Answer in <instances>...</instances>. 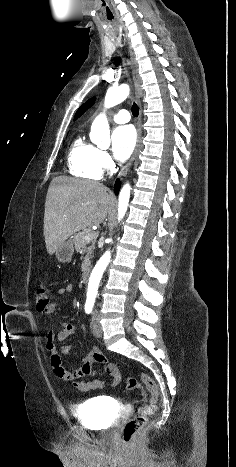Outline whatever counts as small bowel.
Listing matches in <instances>:
<instances>
[{"instance_id": "c3829d8e", "label": "small bowel", "mask_w": 236, "mask_h": 467, "mask_svg": "<svg viewBox=\"0 0 236 467\" xmlns=\"http://www.w3.org/2000/svg\"><path fill=\"white\" fill-rule=\"evenodd\" d=\"M72 284H66L60 287L57 291L59 296H65L72 292ZM61 307L60 301L50 303L44 310L41 311L42 315L48 316L54 313ZM48 334L46 336L45 346L50 354V362L56 376L65 381H73L87 376H96L98 372L95 366L99 362H103V370L112 378V387H116L121 381V375L115 364L109 362L105 358L97 360L95 356L101 354L98 349L94 348L87 352L82 359V365L76 369H69L63 363L62 356L68 355L71 351L70 345H63L60 349L56 347V342H65L73 333L80 332L84 334V326L80 323H66L60 322L57 325L48 326ZM74 386L82 392L99 390L104 386L101 378H93L89 381H75Z\"/></svg>"}]
</instances>
